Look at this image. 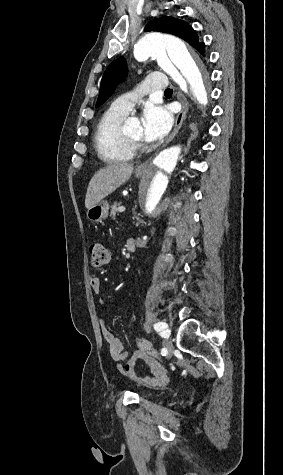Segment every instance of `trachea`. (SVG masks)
Instances as JSON below:
<instances>
[{"instance_id":"3493384b","label":"trachea","mask_w":283,"mask_h":475,"mask_svg":"<svg viewBox=\"0 0 283 475\" xmlns=\"http://www.w3.org/2000/svg\"><path fill=\"white\" fill-rule=\"evenodd\" d=\"M172 92L173 90L171 88H167L164 93L172 95Z\"/></svg>"}]
</instances>
